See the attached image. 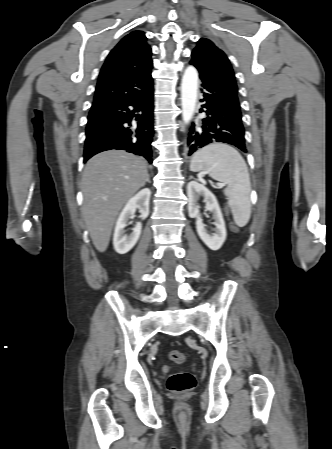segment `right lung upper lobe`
I'll return each mask as SVG.
<instances>
[{"label": "right lung upper lobe", "mask_w": 332, "mask_h": 449, "mask_svg": "<svg viewBox=\"0 0 332 449\" xmlns=\"http://www.w3.org/2000/svg\"><path fill=\"white\" fill-rule=\"evenodd\" d=\"M151 69V48L144 33L126 35L102 66L92 108L146 94L153 87Z\"/></svg>", "instance_id": "obj_1"}]
</instances>
